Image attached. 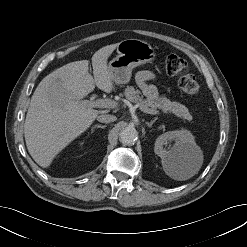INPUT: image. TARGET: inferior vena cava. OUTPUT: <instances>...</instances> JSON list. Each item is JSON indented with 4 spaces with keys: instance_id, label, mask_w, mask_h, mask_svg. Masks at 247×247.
Wrapping results in <instances>:
<instances>
[{
    "instance_id": "1",
    "label": "inferior vena cava",
    "mask_w": 247,
    "mask_h": 247,
    "mask_svg": "<svg viewBox=\"0 0 247 247\" xmlns=\"http://www.w3.org/2000/svg\"><path fill=\"white\" fill-rule=\"evenodd\" d=\"M97 120L101 123H110L116 120V117L111 114H100L97 116Z\"/></svg>"
}]
</instances>
